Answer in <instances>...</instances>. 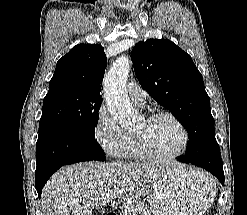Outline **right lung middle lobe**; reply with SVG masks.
Instances as JSON below:
<instances>
[{
	"label": "right lung middle lobe",
	"mask_w": 247,
	"mask_h": 215,
	"mask_svg": "<svg viewBox=\"0 0 247 215\" xmlns=\"http://www.w3.org/2000/svg\"><path fill=\"white\" fill-rule=\"evenodd\" d=\"M101 103V99L83 96L66 88L48 92L43 100L39 132L46 128L63 127L95 138Z\"/></svg>",
	"instance_id": "obj_1"
}]
</instances>
